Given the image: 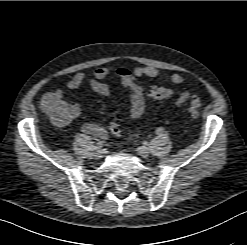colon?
Instances as JSON below:
<instances>
[{"mask_svg":"<svg viewBox=\"0 0 247 245\" xmlns=\"http://www.w3.org/2000/svg\"><path fill=\"white\" fill-rule=\"evenodd\" d=\"M169 94L170 91L164 87H153L148 92L149 97L155 101L162 100L169 96ZM200 105L199 98L197 96H192L189 105V113L192 117L198 116ZM42 108L49 118L57 125H65L69 121V105L64 99L50 97ZM109 128L114 135L120 136L121 129L115 121L110 122Z\"/></svg>","mask_w":247,"mask_h":245,"instance_id":"5ec220e1","label":"colon"}]
</instances>
